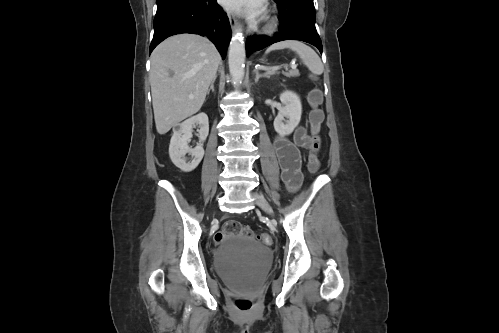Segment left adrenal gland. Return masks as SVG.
Masks as SVG:
<instances>
[{"label": "left adrenal gland", "mask_w": 499, "mask_h": 333, "mask_svg": "<svg viewBox=\"0 0 499 333\" xmlns=\"http://www.w3.org/2000/svg\"><path fill=\"white\" fill-rule=\"evenodd\" d=\"M255 73V83H258L259 79L262 78V77H269L267 75H263V74H259V71L258 69H254L253 71Z\"/></svg>", "instance_id": "obj_1"}]
</instances>
